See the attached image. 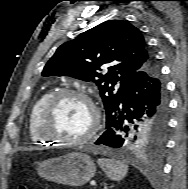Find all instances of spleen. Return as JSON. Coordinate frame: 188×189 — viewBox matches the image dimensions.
<instances>
[{"label":"spleen","instance_id":"3e777b00","mask_svg":"<svg viewBox=\"0 0 188 189\" xmlns=\"http://www.w3.org/2000/svg\"><path fill=\"white\" fill-rule=\"evenodd\" d=\"M98 165L113 181L122 180L128 172V165L114 159L100 158L97 160Z\"/></svg>","mask_w":188,"mask_h":189}]
</instances>
